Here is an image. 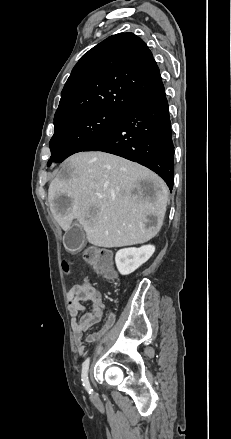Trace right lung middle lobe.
Listing matches in <instances>:
<instances>
[{"label":"right lung middle lobe","mask_w":231,"mask_h":439,"mask_svg":"<svg viewBox=\"0 0 231 439\" xmlns=\"http://www.w3.org/2000/svg\"><path fill=\"white\" fill-rule=\"evenodd\" d=\"M122 115L105 109H90L55 118V131L50 140L51 157L47 165L60 163L70 155L83 151L117 123Z\"/></svg>","instance_id":"dd1d6c3e"}]
</instances>
